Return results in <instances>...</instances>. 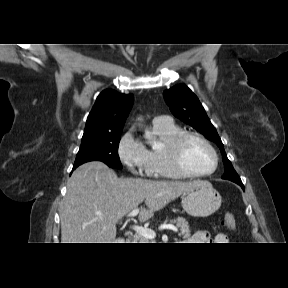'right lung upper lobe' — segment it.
Returning a JSON list of instances; mask_svg holds the SVG:
<instances>
[{
	"label": "right lung upper lobe",
	"instance_id": "cb5924a9",
	"mask_svg": "<svg viewBox=\"0 0 288 288\" xmlns=\"http://www.w3.org/2000/svg\"><path fill=\"white\" fill-rule=\"evenodd\" d=\"M133 100L132 94H120L111 89L101 92L88 115L82 140L122 132Z\"/></svg>",
	"mask_w": 288,
	"mask_h": 288
}]
</instances>
